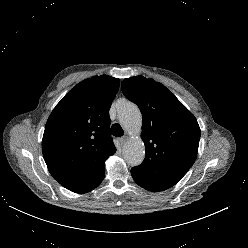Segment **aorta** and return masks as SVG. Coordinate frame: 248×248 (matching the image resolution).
I'll use <instances>...</instances> for the list:
<instances>
[{"label":"aorta","instance_id":"aorta-1","mask_svg":"<svg viewBox=\"0 0 248 248\" xmlns=\"http://www.w3.org/2000/svg\"><path fill=\"white\" fill-rule=\"evenodd\" d=\"M119 122L132 136L124 145L123 155L131 166L141 164L145 157V146L139 137L142 127V115L138 107L131 102H124L118 110Z\"/></svg>","mask_w":248,"mask_h":248}]
</instances>
